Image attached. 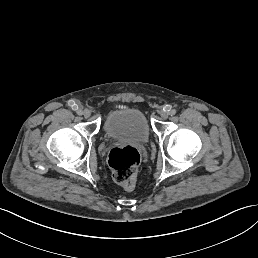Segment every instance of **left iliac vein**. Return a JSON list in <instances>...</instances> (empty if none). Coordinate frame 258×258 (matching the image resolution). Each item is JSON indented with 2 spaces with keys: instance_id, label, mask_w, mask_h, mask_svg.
<instances>
[{
  "instance_id": "1",
  "label": "left iliac vein",
  "mask_w": 258,
  "mask_h": 258,
  "mask_svg": "<svg viewBox=\"0 0 258 258\" xmlns=\"http://www.w3.org/2000/svg\"><path fill=\"white\" fill-rule=\"evenodd\" d=\"M168 118H169V117H168L167 114H165V115L162 116V119L165 120V121L168 120Z\"/></svg>"
}]
</instances>
